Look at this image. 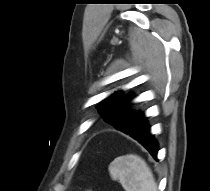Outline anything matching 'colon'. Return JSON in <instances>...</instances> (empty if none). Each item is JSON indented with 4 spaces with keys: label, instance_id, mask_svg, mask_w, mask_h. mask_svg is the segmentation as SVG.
<instances>
[{
    "label": "colon",
    "instance_id": "5ec220e1",
    "mask_svg": "<svg viewBox=\"0 0 210 191\" xmlns=\"http://www.w3.org/2000/svg\"><path fill=\"white\" fill-rule=\"evenodd\" d=\"M86 191H92L91 189H88V190H86Z\"/></svg>",
    "mask_w": 210,
    "mask_h": 191
}]
</instances>
